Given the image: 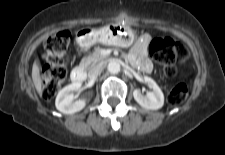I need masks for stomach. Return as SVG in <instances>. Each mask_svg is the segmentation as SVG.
Masks as SVG:
<instances>
[{
	"mask_svg": "<svg viewBox=\"0 0 225 155\" xmlns=\"http://www.w3.org/2000/svg\"><path fill=\"white\" fill-rule=\"evenodd\" d=\"M135 38L132 29L120 23L108 24L99 30L83 28L77 32V42L85 48H89L96 43L129 47L133 44Z\"/></svg>",
	"mask_w": 225,
	"mask_h": 155,
	"instance_id": "1",
	"label": "stomach"
}]
</instances>
